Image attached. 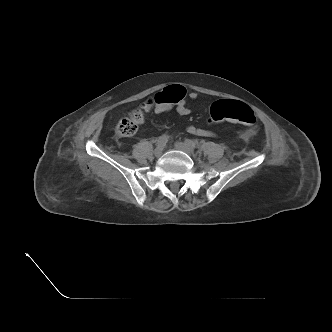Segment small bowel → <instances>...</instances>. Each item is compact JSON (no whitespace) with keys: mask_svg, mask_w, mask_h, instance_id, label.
Listing matches in <instances>:
<instances>
[{"mask_svg":"<svg viewBox=\"0 0 332 332\" xmlns=\"http://www.w3.org/2000/svg\"><path fill=\"white\" fill-rule=\"evenodd\" d=\"M188 97H189L190 100L194 101L198 98V93L195 92V91H192L188 94ZM173 106H174V104H157L154 108V111L157 114L166 113V112L170 111L173 108ZM145 109L149 110L150 106L147 105L145 107ZM175 109H176L177 113L179 115H182V116H187L191 113V109L189 108V106L187 105V103L184 99L180 100L179 102H177L175 104ZM187 132L189 134L199 136V137H215L214 132H212L210 130L198 128V127L193 126V125H189L187 127ZM254 133H255V131L250 129V130H246L243 135H244L245 138H249Z\"/></svg>","mask_w":332,"mask_h":332,"instance_id":"obj_1","label":"small bowel"}]
</instances>
